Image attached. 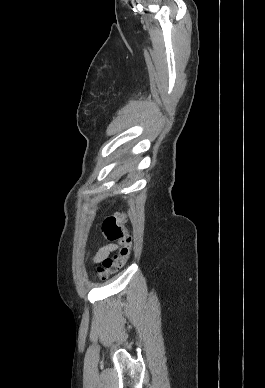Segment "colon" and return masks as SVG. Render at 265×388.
<instances>
[{
  "label": "colon",
  "mask_w": 265,
  "mask_h": 388,
  "mask_svg": "<svg viewBox=\"0 0 265 388\" xmlns=\"http://www.w3.org/2000/svg\"><path fill=\"white\" fill-rule=\"evenodd\" d=\"M127 220V214L122 210L107 217L102 224V231L107 240L121 245L116 255L105 258L101 266L97 268V274L102 279L124 267L131 255L133 239L125 228Z\"/></svg>",
  "instance_id": "colon-1"
}]
</instances>
